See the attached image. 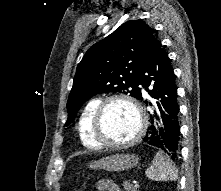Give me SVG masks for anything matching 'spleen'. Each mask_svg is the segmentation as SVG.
I'll list each match as a JSON object with an SVG mask.
<instances>
[{"label":"spleen","mask_w":221,"mask_h":191,"mask_svg":"<svg viewBox=\"0 0 221 191\" xmlns=\"http://www.w3.org/2000/svg\"><path fill=\"white\" fill-rule=\"evenodd\" d=\"M146 176L152 181H176L178 172L164 152L156 153L152 165L146 170Z\"/></svg>","instance_id":"spleen-1"}]
</instances>
